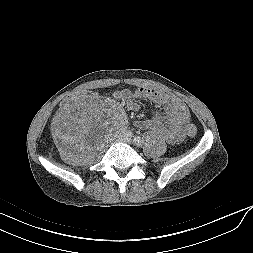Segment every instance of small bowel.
Segmentation results:
<instances>
[{
    "mask_svg": "<svg viewBox=\"0 0 253 253\" xmlns=\"http://www.w3.org/2000/svg\"><path fill=\"white\" fill-rule=\"evenodd\" d=\"M113 95L129 110H137L138 104L134 101L135 99L143 98L152 101L158 107L154 117L145 121H137L136 127L155 132L170 144H177L183 140L184 129L190 120V113L187 106L179 99L148 88H138L133 91L120 89L116 90ZM60 129L64 133L65 120H62Z\"/></svg>",
    "mask_w": 253,
    "mask_h": 253,
    "instance_id": "small-bowel-1",
    "label": "small bowel"
}]
</instances>
